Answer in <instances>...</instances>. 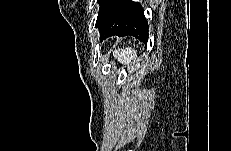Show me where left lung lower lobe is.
Returning a JSON list of instances; mask_svg holds the SVG:
<instances>
[{
    "label": "left lung lower lobe",
    "mask_w": 231,
    "mask_h": 151,
    "mask_svg": "<svg viewBox=\"0 0 231 151\" xmlns=\"http://www.w3.org/2000/svg\"><path fill=\"white\" fill-rule=\"evenodd\" d=\"M96 27L99 28L101 41L112 35H131L145 44L148 41L144 10L140 3L132 0H110Z\"/></svg>",
    "instance_id": "left-lung-lower-lobe-1"
}]
</instances>
